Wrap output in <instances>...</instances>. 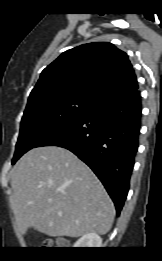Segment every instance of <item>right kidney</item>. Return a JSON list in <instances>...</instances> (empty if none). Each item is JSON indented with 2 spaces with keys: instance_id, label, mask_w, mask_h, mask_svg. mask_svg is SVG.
<instances>
[{
  "instance_id": "ca27d5eb",
  "label": "right kidney",
  "mask_w": 162,
  "mask_h": 261,
  "mask_svg": "<svg viewBox=\"0 0 162 261\" xmlns=\"http://www.w3.org/2000/svg\"><path fill=\"white\" fill-rule=\"evenodd\" d=\"M102 246V239L96 233H88L82 236L74 244V248H99Z\"/></svg>"
}]
</instances>
